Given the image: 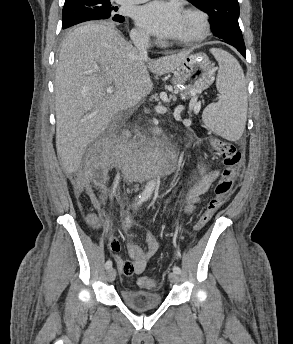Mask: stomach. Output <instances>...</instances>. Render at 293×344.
Masks as SVG:
<instances>
[{"label":"stomach","instance_id":"obj_1","mask_svg":"<svg viewBox=\"0 0 293 344\" xmlns=\"http://www.w3.org/2000/svg\"><path fill=\"white\" fill-rule=\"evenodd\" d=\"M170 73L175 88L186 96H193L212 84L215 68L205 54L196 53L186 56Z\"/></svg>","mask_w":293,"mask_h":344}]
</instances>
